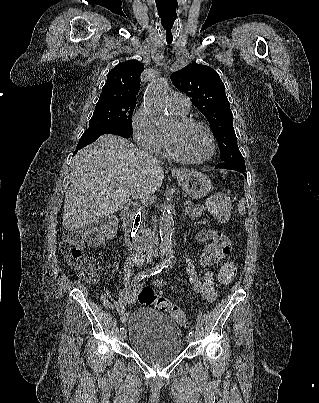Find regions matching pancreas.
I'll return each instance as SVG.
<instances>
[{"mask_svg":"<svg viewBox=\"0 0 319 403\" xmlns=\"http://www.w3.org/2000/svg\"><path fill=\"white\" fill-rule=\"evenodd\" d=\"M205 208L202 205H195V206H186L185 207V215L189 216L190 218H198L202 216ZM143 228V227H142Z\"/></svg>","mask_w":319,"mask_h":403,"instance_id":"obj_1","label":"pancreas"}]
</instances>
